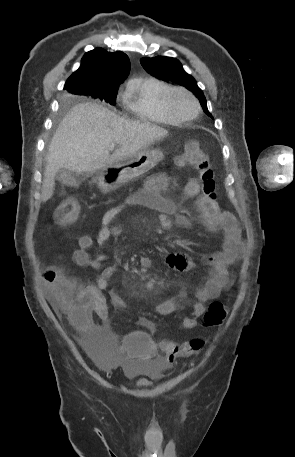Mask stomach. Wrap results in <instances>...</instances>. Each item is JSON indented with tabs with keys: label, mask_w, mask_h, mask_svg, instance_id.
Masks as SVG:
<instances>
[{
	"label": "stomach",
	"mask_w": 295,
	"mask_h": 457,
	"mask_svg": "<svg viewBox=\"0 0 295 457\" xmlns=\"http://www.w3.org/2000/svg\"><path fill=\"white\" fill-rule=\"evenodd\" d=\"M164 158L161 148H145L96 171L98 187L113 191L129 181L147 173Z\"/></svg>",
	"instance_id": "obj_1"
}]
</instances>
